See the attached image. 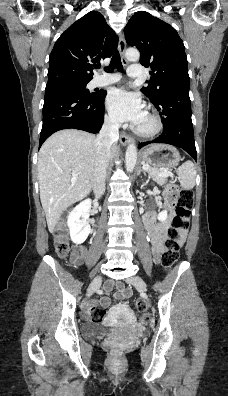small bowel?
<instances>
[{"mask_svg": "<svg viewBox=\"0 0 228 396\" xmlns=\"http://www.w3.org/2000/svg\"><path fill=\"white\" fill-rule=\"evenodd\" d=\"M146 218H149V219L155 221L154 220V215H150V216H148ZM158 226H159V229H157L156 232L154 233V236L151 237L152 244H153V253L156 256H159L163 252V241H164V239L166 237V233H167V230H168V227H169V222L168 221H164V222L158 224ZM185 235H186V229H184L181 232V239H184ZM84 254H85L84 246L78 245L76 247V250H75L74 254H73V263H75V264L79 263L83 259ZM111 288H112V283L111 282H107L105 284L104 289L106 291H109ZM116 289H117L116 297L119 300L126 299V298L130 297V295H131V292L129 290L125 289L123 284H121V283L116 284ZM100 303H101V305L103 307H109L110 306V299L108 297L104 296V297L101 298ZM94 305H96V301H92L90 304L87 305V314L88 315L90 314L91 308ZM120 309H124V310L128 311V308L125 305H122V304L118 305L115 308L116 311L120 310Z\"/></svg>", "mask_w": 228, "mask_h": 396, "instance_id": "c3829d8e", "label": "small bowel"}]
</instances>
